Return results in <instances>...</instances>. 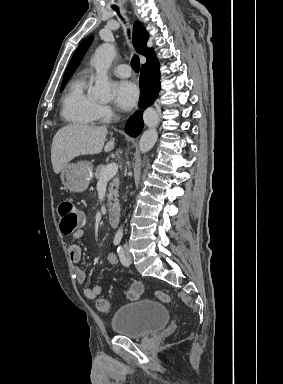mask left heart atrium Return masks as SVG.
I'll return each mask as SVG.
<instances>
[{"label": "left heart atrium", "instance_id": "39dd6f15", "mask_svg": "<svg viewBox=\"0 0 283 384\" xmlns=\"http://www.w3.org/2000/svg\"><path fill=\"white\" fill-rule=\"evenodd\" d=\"M114 96L121 109L130 110L138 100L139 91L132 82L119 81L114 85Z\"/></svg>", "mask_w": 283, "mask_h": 384}]
</instances>
